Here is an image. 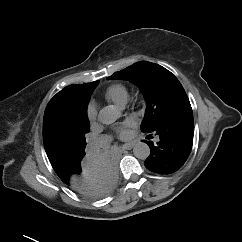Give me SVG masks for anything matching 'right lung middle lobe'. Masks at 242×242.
<instances>
[{"label":"right lung middle lobe","instance_id":"1","mask_svg":"<svg viewBox=\"0 0 242 242\" xmlns=\"http://www.w3.org/2000/svg\"><path fill=\"white\" fill-rule=\"evenodd\" d=\"M90 124L87 115L84 120L73 127L63 129L56 137L55 147L61 152H68L77 158L85 156V134L89 131Z\"/></svg>","mask_w":242,"mask_h":242}]
</instances>
